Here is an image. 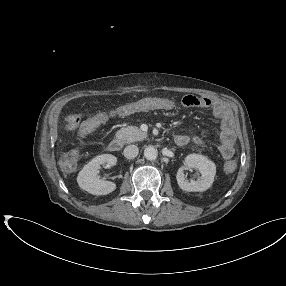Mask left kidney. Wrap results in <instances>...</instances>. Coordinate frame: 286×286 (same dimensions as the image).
I'll list each match as a JSON object with an SVG mask.
<instances>
[{
    "instance_id": "obj_1",
    "label": "left kidney",
    "mask_w": 286,
    "mask_h": 286,
    "mask_svg": "<svg viewBox=\"0 0 286 286\" xmlns=\"http://www.w3.org/2000/svg\"><path fill=\"white\" fill-rule=\"evenodd\" d=\"M194 168L201 174L196 181L189 182L184 175V170ZM216 174L215 164L200 154H190L186 157V162L181 166L176 174L179 187L188 192L205 191L212 185Z\"/></svg>"
}]
</instances>
